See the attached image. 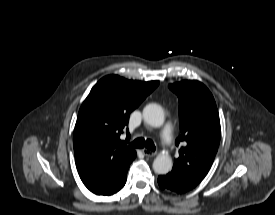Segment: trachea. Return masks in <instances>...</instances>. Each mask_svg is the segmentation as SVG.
Listing matches in <instances>:
<instances>
[{
	"label": "trachea",
	"instance_id": "trachea-1",
	"mask_svg": "<svg viewBox=\"0 0 275 215\" xmlns=\"http://www.w3.org/2000/svg\"><path fill=\"white\" fill-rule=\"evenodd\" d=\"M131 147L134 148H144L146 147L150 151H155V145L152 140L147 139L145 140L144 138H137L133 142L130 143Z\"/></svg>",
	"mask_w": 275,
	"mask_h": 215
}]
</instances>
